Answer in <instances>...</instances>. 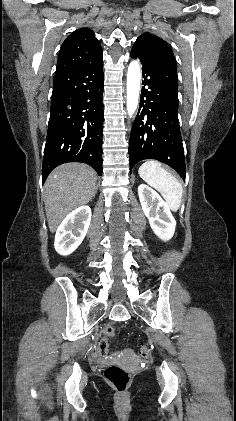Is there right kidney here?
<instances>
[{
    "label": "right kidney",
    "mask_w": 236,
    "mask_h": 421,
    "mask_svg": "<svg viewBox=\"0 0 236 421\" xmlns=\"http://www.w3.org/2000/svg\"><path fill=\"white\" fill-rule=\"evenodd\" d=\"M91 208L84 204L67 215L58 227L55 235L54 247L59 255H70L81 245L89 229Z\"/></svg>",
    "instance_id": "obj_1"
}]
</instances>
